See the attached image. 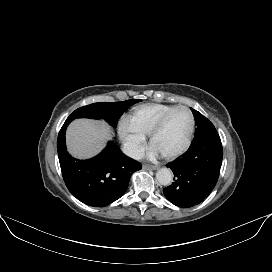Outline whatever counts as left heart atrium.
<instances>
[{
  "label": "left heart atrium",
  "instance_id": "left-heart-atrium-1",
  "mask_svg": "<svg viewBox=\"0 0 272 272\" xmlns=\"http://www.w3.org/2000/svg\"><path fill=\"white\" fill-rule=\"evenodd\" d=\"M158 154H159V152L153 146H151L150 151H149V155L156 156Z\"/></svg>",
  "mask_w": 272,
  "mask_h": 272
}]
</instances>
